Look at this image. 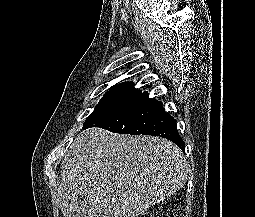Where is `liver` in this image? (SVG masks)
I'll use <instances>...</instances> for the list:
<instances>
[{
    "mask_svg": "<svg viewBox=\"0 0 255 217\" xmlns=\"http://www.w3.org/2000/svg\"><path fill=\"white\" fill-rule=\"evenodd\" d=\"M60 168L64 217H138L187 179L185 156L173 142L100 128L77 135Z\"/></svg>",
    "mask_w": 255,
    "mask_h": 217,
    "instance_id": "6515ba94",
    "label": "liver"
}]
</instances>
